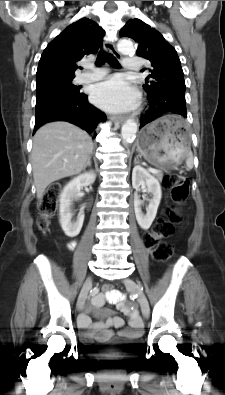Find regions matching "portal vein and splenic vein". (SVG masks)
<instances>
[{
  "instance_id": "obj_1",
  "label": "portal vein and splenic vein",
  "mask_w": 225,
  "mask_h": 395,
  "mask_svg": "<svg viewBox=\"0 0 225 395\" xmlns=\"http://www.w3.org/2000/svg\"><path fill=\"white\" fill-rule=\"evenodd\" d=\"M149 171H150L151 173H154V174H156V173L159 172L158 170H156V169H154V168H149Z\"/></svg>"
}]
</instances>
